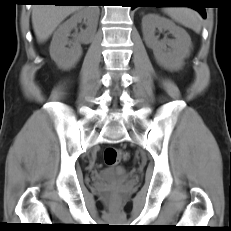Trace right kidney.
I'll return each instance as SVG.
<instances>
[{"label":"right kidney","mask_w":231,"mask_h":231,"mask_svg":"<svg viewBox=\"0 0 231 231\" xmlns=\"http://www.w3.org/2000/svg\"><path fill=\"white\" fill-rule=\"evenodd\" d=\"M98 17V8L83 7L59 26L53 35L50 45L51 58L56 62L58 67L70 69L78 62L82 54L81 44L90 43L95 35ZM82 21L86 24V29L74 35L73 41H69L68 37L71 30ZM67 45H69V48L66 47Z\"/></svg>","instance_id":"right-kidney-1"}]
</instances>
